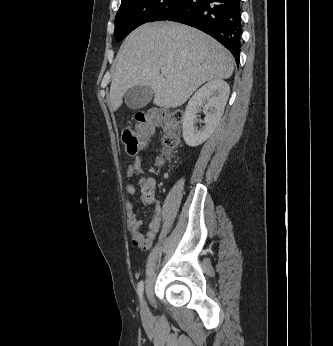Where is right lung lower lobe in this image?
<instances>
[{
    "mask_svg": "<svg viewBox=\"0 0 333 346\" xmlns=\"http://www.w3.org/2000/svg\"><path fill=\"white\" fill-rule=\"evenodd\" d=\"M165 20L195 27L219 41L239 63L240 0H184Z\"/></svg>",
    "mask_w": 333,
    "mask_h": 346,
    "instance_id": "right-lung-lower-lobe-1",
    "label": "right lung lower lobe"
}]
</instances>
